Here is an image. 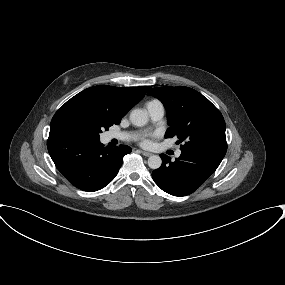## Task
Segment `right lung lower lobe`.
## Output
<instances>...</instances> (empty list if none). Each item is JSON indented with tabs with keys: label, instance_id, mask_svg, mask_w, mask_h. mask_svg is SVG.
Listing matches in <instances>:
<instances>
[{
	"label": "right lung lower lobe",
	"instance_id": "1",
	"mask_svg": "<svg viewBox=\"0 0 285 285\" xmlns=\"http://www.w3.org/2000/svg\"><path fill=\"white\" fill-rule=\"evenodd\" d=\"M47 148L61 174L88 192L107 186L117 175L124 155L131 152L126 145L107 149L100 141L83 139L62 128L50 130Z\"/></svg>",
	"mask_w": 285,
	"mask_h": 285
}]
</instances>
